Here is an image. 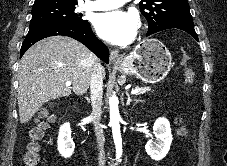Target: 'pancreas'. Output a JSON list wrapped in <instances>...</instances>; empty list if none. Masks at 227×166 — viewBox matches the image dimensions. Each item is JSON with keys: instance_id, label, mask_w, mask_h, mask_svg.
<instances>
[{"instance_id": "1", "label": "pancreas", "mask_w": 227, "mask_h": 166, "mask_svg": "<svg viewBox=\"0 0 227 166\" xmlns=\"http://www.w3.org/2000/svg\"><path fill=\"white\" fill-rule=\"evenodd\" d=\"M140 89H141V92L139 94H143L145 92L150 91V88L149 87H141Z\"/></svg>"}]
</instances>
